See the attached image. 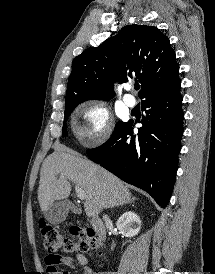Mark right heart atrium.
Instances as JSON below:
<instances>
[{"label":"right heart atrium","mask_w":215,"mask_h":274,"mask_svg":"<svg viewBox=\"0 0 215 274\" xmlns=\"http://www.w3.org/2000/svg\"><path fill=\"white\" fill-rule=\"evenodd\" d=\"M82 123L77 129V137L87 146H97L104 143L111 135L113 123L106 105L100 101L91 100L80 107Z\"/></svg>","instance_id":"1"}]
</instances>
